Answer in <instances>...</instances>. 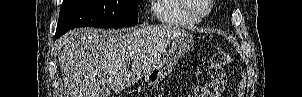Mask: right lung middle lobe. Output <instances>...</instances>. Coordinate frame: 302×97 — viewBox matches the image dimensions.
<instances>
[{"instance_id":"right-lung-middle-lobe-1","label":"right lung middle lobe","mask_w":302,"mask_h":97,"mask_svg":"<svg viewBox=\"0 0 302 97\" xmlns=\"http://www.w3.org/2000/svg\"><path fill=\"white\" fill-rule=\"evenodd\" d=\"M141 0H63L56 32L63 35L72 28L92 26L118 28L138 23Z\"/></svg>"}]
</instances>
